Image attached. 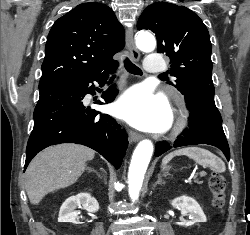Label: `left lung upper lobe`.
Returning <instances> with one entry per match:
<instances>
[{"label": "left lung upper lobe", "mask_w": 250, "mask_h": 235, "mask_svg": "<svg viewBox=\"0 0 250 235\" xmlns=\"http://www.w3.org/2000/svg\"><path fill=\"white\" fill-rule=\"evenodd\" d=\"M137 28L156 34L158 52L170 57V75L177 78L168 83L182 94L191 88L213 86L209 33L193 11L172 3H154L143 11Z\"/></svg>", "instance_id": "5c2ea615"}]
</instances>
